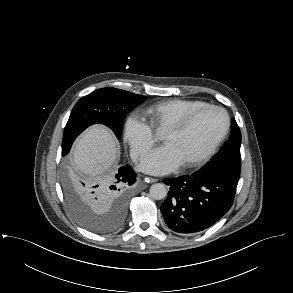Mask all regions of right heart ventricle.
Returning a JSON list of instances; mask_svg holds the SVG:
<instances>
[{"label": "right heart ventricle", "instance_id": "obj_1", "mask_svg": "<svg viewBox=\"0 0 293 293\" xmlns=\"http://www.w3.org/2000/svg\"><path fill=\"white\" fill-rule=\"evenodd\" d=\"M200 100L168 99L154 103L144 109V114L149 118V123L158 131L165 129L181 119L187 113L206 105Z\"/></svg>", "mask_w": 293, "mask_h": 293}]
</instances>
